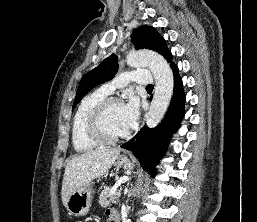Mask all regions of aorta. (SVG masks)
I'll return each mask as SVG.
<instances>
[{"label":"aorta","mask_w":257,"mask_h":222,"mask_svg":"<svg viewBox=\"0 0 257 222\" xmlns=\"http://www.w3.org/2000/svg\"><path fill=\"white\" fill-rule=\"evenodd\" d=\"M126 62L134 68L149 67L154 75L156 87L146 119L148 127L154 128L163 118L173 94L172 70L161 55L148 50L129 52Z\"/></svg>","instance_id":"1"}]
</instances>
